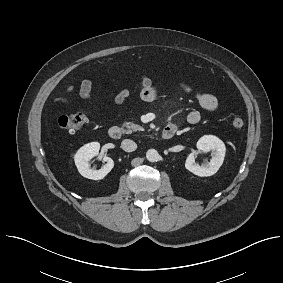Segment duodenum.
Instances as JSON below:
<instances>
[{"mask_svg": "<svg viewBox=\"0 0 283 283\" xmlns=\"http://www.w3.org/2000/svg\"><path fill=\"white\" fill-rule=\"evenodd\" d=\"M176 126L173 124L167 125L161 133L163 139H171L176 133ZM122 131L118 126H113L109 129V136L114 140L121 138Z\"/></svg>", "mask_w": 283, "mask_h": 283, "instance_id": "obj_1", "label": "duodenum"}]
</instances>
